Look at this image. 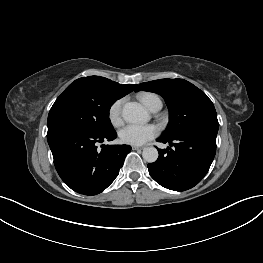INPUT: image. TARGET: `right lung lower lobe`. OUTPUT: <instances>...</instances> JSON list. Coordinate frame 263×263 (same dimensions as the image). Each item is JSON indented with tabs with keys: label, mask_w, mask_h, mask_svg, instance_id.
<instances>
[{
	"label": "right lung lower lobe",
	"mask_w": 263,
	"mask_h": 263,
	"mask_svg": "<svg viewBox=\"0 0 263 263\" xmlns=\"http://www.w3.org/2000/svg\"><path fill=\"white\" fill-rule=\"evenodd\" d=\"M117 137L116 132L100 135L82 130H63L47 135L55 168L72 190L84 195L104 191L118 176L129 145H101Z\"/></svg>",
	"instance_id": "obj_1"
}]
</instances>
